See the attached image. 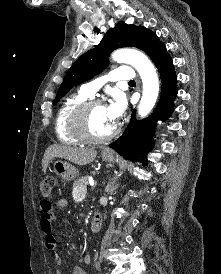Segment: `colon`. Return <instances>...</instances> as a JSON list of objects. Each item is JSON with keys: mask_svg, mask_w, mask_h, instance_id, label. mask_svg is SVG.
Returning a JSON list of instances; mask_svg holds the SVG:
<instances>
[{"mask_svg": "<svg viewBox=\"0 0 221 274\" xmlns=\"http://www.w3.org/2000/svg\"><path fill=\"white\" fill-rule=\"evenodd\" d=\"M54 187H55V179L53 177L48 176L44 178L40 186L42 195L45 198H48V199L51 198L53 195Z\"/></svg>", "mask_w": 221, "mask_h": 274, "instance_id": "obj_1", "label": "colon"}]
</instances>
